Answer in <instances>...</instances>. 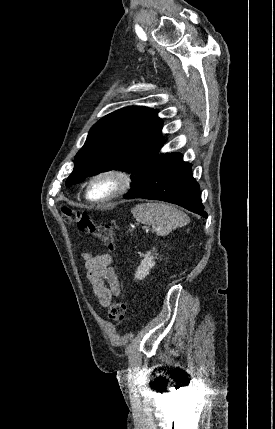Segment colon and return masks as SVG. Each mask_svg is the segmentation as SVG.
I'll use <instances>...</instances> for the list:
<instances>
[{
  "mask_svg": "<svg viewBox=\"0 0 275 429\" xmlns=\"http://www.w3.org/2000/svg\"><path fill=\"white\" fill-rule=\"evenodd\" d=\"M62 215L66 223L74 224L81 232L93 235L109 250L114 249V230L111 225L97 223L87 213L69 207L62 208ZM126 309L123 301H114L108 307V316L112 321L122 323L126 316Z\"/></svg>",
  "mask_w": 275,
  "mask_h": 429,
  "instance_id": "obj_1",
  "label": "colon"
}]
</instances>
